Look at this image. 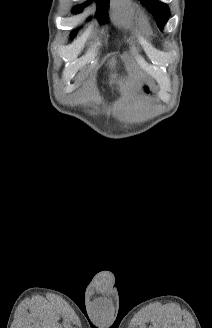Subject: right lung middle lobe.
I'll use <instances>...</instances> for the list:
<instances>
[{"mask_svg": "<svg viewBox=\"0 0 212 328\" xmlns=\"http://www.w3.org/2000/svg\"><path fill=\"white\" fill-rule=\"evenodd\" d=\"M110 0H96V2L98 3L97 5V16L99 17L98 20L100 23H107L108 21V4H109ZM84 5H87L84 4ZM83 10V6H76L73 9L74 13H79ZM75 33L72 34V36H74Z\"/></svg>", "mask_w": 212, "mask_h": 328, "instance_id": "obj_1", "label": "right lung middle lobe"}]
</instances>
